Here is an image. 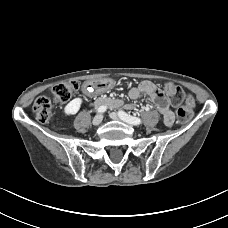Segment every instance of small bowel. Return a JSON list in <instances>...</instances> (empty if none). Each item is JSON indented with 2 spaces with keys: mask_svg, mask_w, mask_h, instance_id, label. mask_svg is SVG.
Returning <instances> with one entry per match:
<instances>
[{
  "mask_svg": "<svg viewBox=\"0 0 228 228\" xmlns=\"http://www.w3.org/2000/svg\"><path fill=\"white\" fill-rule=\"evenodd\" d=\"M111 86H112L111 82L103 81L96 84L85 85L84 91L88 94H97L109 89ZM141 95H147L150 97V99L153 101L156 108L162 115L165 125L167 126L173 125L175 117L170 107V102L155 84H153L151 81H142L137 86L130 88L128 91V96L131 99H137ZM94 105L100 106L104 104L99 103L97 100ZM125 107L127 109H133L134 105L127 104Z\"/></svg>",
  "mask_w": 228,
  "mask_h": 228,
  "instance_id": "small-bowel-1",
  "label": "small bowel"
}]
</instances>
